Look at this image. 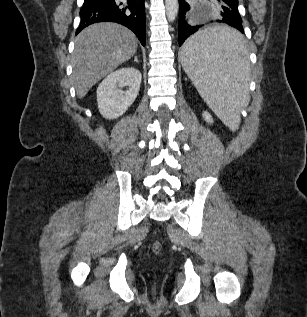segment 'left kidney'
<instances>
[{
	"instance_id": "obj_1",
	"label": "left kidney",
	"mask_w": 307,
	"mask_h": 317,
	"mask_svg": "<svg viewBox=\"0 0 307 317\" xmlns=\"http://www.w3.org/2000/svg\"><path fill=\"white\" fill-rule=\"evenodd\" d=\"M202 116H203V119H204L207 123H210V124L213 123V118H212V116H211V114H210L209 112L204 111L203 114H202Z\"/></svg>"
}]
</instances>
